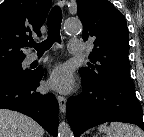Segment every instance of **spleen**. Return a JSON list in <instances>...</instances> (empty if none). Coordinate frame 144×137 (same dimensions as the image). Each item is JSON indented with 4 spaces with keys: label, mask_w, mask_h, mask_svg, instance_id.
<instances>
[{
    "label": "spleen",
    "mask_w": 144,
    "mask_h": 137,
    "mask_svg": "<svg viewBox=\"0 0 144 137\" xmlns=\"http://www.w3.org/2000/svg\"><path fill=\"white\" fill-rule=\"evenodd\" d=\"M98 130L106 133V137H144V132L138 127L121 122L100 125Z\"/></svg>",
    "instance_id": "1"
}]
</instances>
